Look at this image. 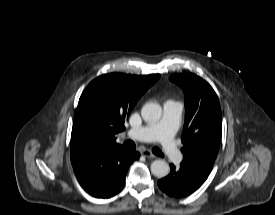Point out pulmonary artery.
Instances as JSON below:
<instances>
[{
    "mask_svg": "<svg viewBox=\"0 0 275 215\" xmlns=\"http://www.w3.org/2000/svg\"><path fill=\"white\" fill-rule=\"evenodd\" d=\"M183 105L175 100H168L163 105V116L155 124L130 129L129 137L144 142L159 141L167 159L178 162L181 159V152L175 144L174 135L180 124Z\"/></svg>",
    "mask_w": 275,
    "mask_h": 215,
    "instance_id": "e3ab8cb5",
    "label": "pulmonary artery"
}]
</instances>
